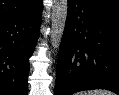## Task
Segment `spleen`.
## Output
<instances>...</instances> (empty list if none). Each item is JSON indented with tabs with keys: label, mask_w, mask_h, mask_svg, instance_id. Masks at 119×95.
<instances>
[{
	"label": "spleen",
	"mask_w": 119,
	"mask_h": 95,
	"mask_svg": "<svg viewBox=\"0 0 119 95\" xmlns=\"http://www.w3.org/2000/svg\"><path fill=\"white\" fill-rule=\"evenodd\" d=\"M77 95H114V93L107 90H91L87 92H80Z\"/></svg>",
	"instance_id": "spleen-1"
}]
</instances>
